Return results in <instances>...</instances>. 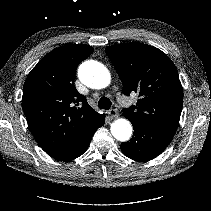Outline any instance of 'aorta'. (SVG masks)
<instances>
[{
	"label": "aorta",
	"mask_w": 211,
	"mask_h": 211,
	"mask_svg": "<svg viewBox=\"0 0 211 211\" xmlns=\"http://www.w3.org/2000/svg\"><path fill=\"white\" fill-rule=\"evenodd\" d=\"M80 81L90 88L101 89L109 85L111 76L108 69L98 61L83 62L78 69ZM111 133L119 141H127L132 135V126L126 119H117L111 125Z\"/></svg>",
	"instance_id": "762f6f07"
}]
</instances>
